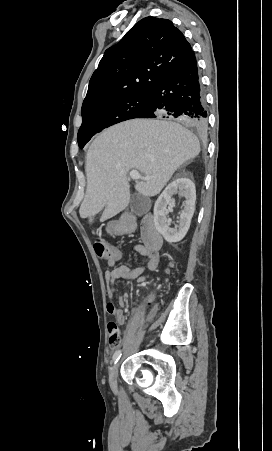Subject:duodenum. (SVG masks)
Wrapping results in <instances>:
<instances>
[{
    "label": "duodenum",
    "mask_w": 272,
    "mask_h": 451,
    "mask_svg": "<svg viewBox=\"0 0 272 451\" xmlns=\"http://www.w3.org/2000/svg\"><path fill=\"white\" fill-rule=\"evenodd\" d=\"M135 228L136 222L131 217L123 218L111 226L112 232L116 235L129 234ZM141 232L145 247L150 251L157 252L161 248L163 240L152 216H147L141 221Z\"/></svg>",
    "instance_id": "obj_1"
}]
</instances>
